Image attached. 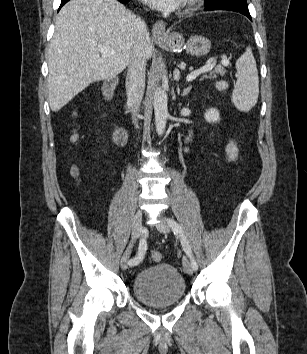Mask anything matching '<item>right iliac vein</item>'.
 Returning <instances> with one entry per match:
<instances>
[{
	"mask_svg": "<svg viewBox=\"0 0 307 354\" xmlns=\"http://www.w3.org/2000/svg\"><path fill=\"white\" fill-rule=\"evenodd\" d=\"M141 222H142V211L138 209L134 214L133 222H132V243L125 251L120 261L122 270L127 269L133 242H135L141 235V231H142Z\"/></svg>",
	"mask_w": 307,
	"mask_h": 354,
	"instance_id": "63e3f726",
	"label": "right iliac vein"
}]
</instances>
